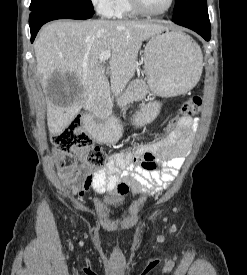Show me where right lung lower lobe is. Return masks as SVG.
<instances>
[{
  "label": "right lung lower lobe",
  "mask_w": 247,
  "mask_h": 275,
  "mask_svg": "<svg viewBox=\"0 0 247 275\" xmlns=\"http://www.w3.org/2000/svg\"><path fill=\"white\" fill-rule=\"evenodd\" d=\"M93 15L66 8H45L30 13L29 25L31 31V42L34 41L37 32L43 24L56 19H89Z\"/></svg>",
  "instance_id": "obj_1"
}]
</instances>
